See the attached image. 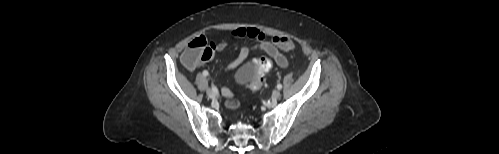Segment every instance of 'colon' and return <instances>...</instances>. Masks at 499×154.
Here are the masks:
<instances>
[{"instance_id":"obj_1","label":"colon","mask_w":499,"mask_h":154,"mask_svg":"<svg viewBox=\"0 0 499 154\" xmlns=\"http://www.w3.org/2000/svg\"><path fill=\"white\" fill-rule=\"evenodd\" d=\"M273 43L284 51H292L295 48L292 40L286 36L278 35L273 38ZM213 56V48L207 39L203 36L192 39L187 45L182 60L189 68L196 67L200 62L207 61ZM256 73L253 80L250 82L249 88L254 91H259L263 88V76L271 69L272 62L268 58H260L255 61ZM227 105L231 109L239 107V102L235 99H229Z\"/></svg>"}]
</instances>
